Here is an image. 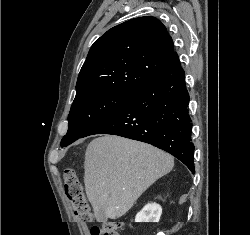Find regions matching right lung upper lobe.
<instances>
[{
  "instance_id": "cb5924a9",
  "label": "right lung upper lobe",
  "mask_w": 250,
  "mask_h": 235,
  "mask_svg": "<svg viewBox=\"0 0 250 235\" xmlns=\"http://www.w3.org/2000/svg\"><path fill=\"white\" fill-rule=\"evenodd\" d=\"M175 54L173 40L157 18L119 24L92 45L78 76L75 99L101 91L134 93L166 69Z\"/></svg>"
}]
</instances>
